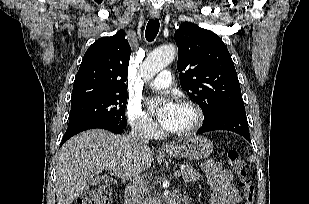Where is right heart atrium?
Returning a JSON list of instances; mask_svg holds the SVG:
<instances>
[{
  "mask_svg": "<svg viewBox=\"0 0 309 204\" xmlns=\"http://www.w3.org/2000/svg\"><path fill=\"white\" fill-rule=\"evenodd\" d=\"M127 117L133 130L141 135L152 138L157 134L156 124L142 109L138 101L128 102Z\"/></svg>",
  "mask_w": 309,
  "mask_h": 204,
  "instance_id": "1",
  "label": "right heart atrium"
}]
</instances>
